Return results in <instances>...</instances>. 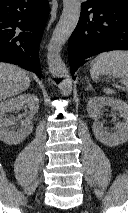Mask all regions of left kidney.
Returning a JSON list of instances; mask_svg holds the SVG:
<instances>
[{"label":"left kidney","instance_id":"1","mask_svg":"<svg viewBox=\"0 0 128 213\" xmlns=\"http://www.w3.org/2000/svg\"><path fill=\"white\" fill-rule=\"evenodd\" d=\"M105 106L118 111L124 119L115 125V132L109 133L103 129V124L99 121V116ZM87 112L95 120L92 126L95 138L106 146L115 147L128 140V104L121 99L108 97H93L87 103Z\"/></svg>","mask_w":128,"mask_h":213}]
</instances>
